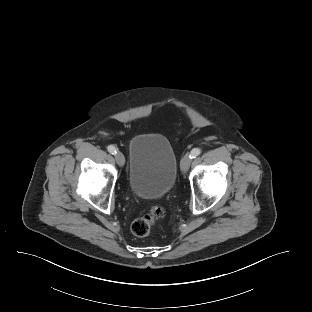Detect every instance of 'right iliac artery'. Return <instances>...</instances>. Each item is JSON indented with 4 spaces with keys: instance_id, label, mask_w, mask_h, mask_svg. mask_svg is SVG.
Segmentation results:
<instances>
[{
    "instance_id": "obj_1",
    "label": "right iliac artery",
    "mask_w": 312,
    "mask_h": 312,
    "mask_svg": "<svg viewBox=\"0 0 312 312\" xmlns=\"http://www.w3.org/2000/svg\"><path fill=\"white\" fill-rule=\"evenodd\" d=\"M107 149L113 155L117 153V149L112 145H109Z\"/></svg>"
}]
</instances>
